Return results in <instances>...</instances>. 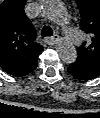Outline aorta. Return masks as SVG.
<instances>
[{
    "label": "aorta",
    "instance_id": "obj_1",
    "mask_svg": "<svg viewBox=\"0 0 100 118\" xmlns=\"http://www.w3.org/2000/svg\"><path fill=\"white\" fill-rule=\"evenodd\" d=\"M41 12L46 18L57 24L67 22V15L60 0H42ZM56 50L60 59L67 64L73 63L77 58L76 49L68 40H60Z\"/></svg>",
    "mask_w": 100,
    "mask_h": 118
}]
</instances>
